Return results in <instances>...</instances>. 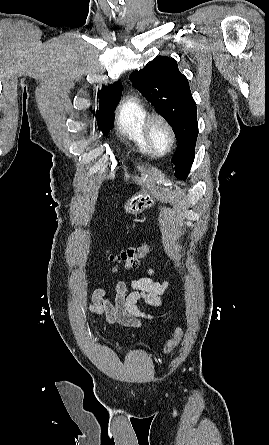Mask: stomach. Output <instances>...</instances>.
Masks as SVG:
<instances>
[{"mask_svg": "<svg viewBox=\"0 0 269 445\" xmlns=\"http://www.w3.org/2000/svg\"><path fill=\"white\" fill-rule=\"evenodd\" d=\"M156 203L152 192L142 189L140 192L134 194L125 204V210L128 213L137 215L146 209L152 207Z\"/></svg>", "mask_w": 269, "mask_h": 445, "instance_id": "stomach-1", "label": "stomach"}]
</instances>
